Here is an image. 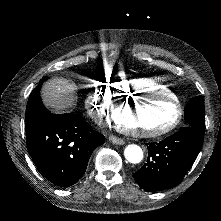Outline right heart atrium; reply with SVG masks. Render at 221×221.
<instances>
[{
	"label": "right heart atrium",
	"mask_w": 221,
	"mask_h": 221,
	"mask_svg": "<svg viewBox=\"0 0 221 221\" xmlns=\"http://www.w3.org/2000/svg\"><path fill=\"white\" fill-rule=\"evenodd\" d=\"M111 90L105 82L97 83L93 90L87 93L86 104L94 112L106 111L114 100Z\"/></svg>",
	"instance_id": "right-heart-atrium-1"
}]
</instances>
